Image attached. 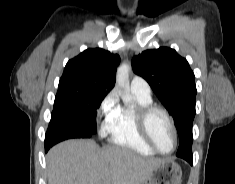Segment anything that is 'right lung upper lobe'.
Segmentation results:
<instances>
[{"label":"right lung upper lobe","mask_w":235,"mask_h":184,"mask_svg":"<svg viewBox=\"0 0 235 184\" xmlns=\"http://www.w3.org/2000/svg\"><path fill=\"white\" fill-rule=\"evenodd\" d=\"M120 57L100 48H90L68 61L58 90L100 88L110 91L115 85Z\"/></svg>","instance_id":"right-lung-upper-lobe-1"}]
</instances>
